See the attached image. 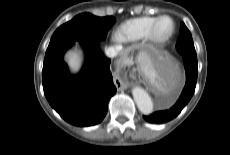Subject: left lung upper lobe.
<instances>
[{
  "instance_id": "left-lung-upper-lobe-1",
  "label": "left lung upper lobe",
  "mask_w": 230,
  "mask_h": 155,
  "mask_svg": "<svg viewBox=\"0 0 230 155\" xmlns=\"http://www.w3.org/2000/svg\"><path fill=\"white\" fill-rule=\"evenodd\" d=\"M176 47L177 50L180 52V54L190 53V52L195 53V48H194V43L192 40L191 33L183 22L181 23L180 36Z\"/></svg>"
}]
</instances>
